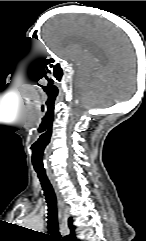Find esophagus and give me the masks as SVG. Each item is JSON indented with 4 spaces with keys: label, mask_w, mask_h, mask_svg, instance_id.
Here are the masks:
<instances>
[{
    "label": "esophagus",
    "mask_w": 146,
    "mask_h": 241,
    "mask_svg": "<svg viewBox=\"0 0 146 241\" xmlns=\"http://www.w3.org/2000/svg\"><path fill=\"white\" fill-rule=\"evenodd\" d=\"M47 175H48V178H49V180H50V182L53 186V189L55 191V194H56V197H57V202H58V207H59V217H60V219H62V211H63L64 204H63V200H62V196H61L59 187H58V185L56 183V180H55L54 176L52 175V173L48 172Z\"/></svg>",
    "instance_id": "34e87169"
}]
</instances>
